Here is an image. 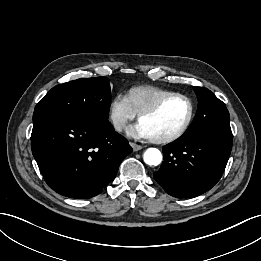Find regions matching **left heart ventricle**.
I'll return each mask as SVG.
<instances>
[{"label":"left heart ventricle","instance_id":"b2bd125f","mask_svg":"<svg viewBox=\"0 0 261 261\" xmlns=\"http://www.w3.org/2000/svg\"><path fill=\"white\" fill-rule=\"evenodd\" d=\"M188 104L180 98L167 100L154 114L145 116L141 123L148 131L150 137L159 138L177 131L188 115Z\"/></svg>","mask_w":261,"mask_h":261}]
</instances>
